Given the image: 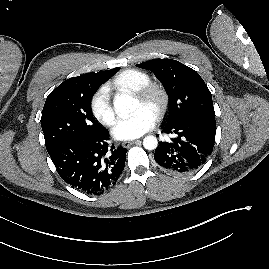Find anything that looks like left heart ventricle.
<instances>
[{"label":"left heart ventricle","mask_w":269,"mask_h":269,"mask_svg":"<svg viewBox=\"0 0 269 269\" xmlns=\"http://www.w3.org/2000/svg\"><path fill=\"white\" fill-rule=\"evenodd\" d=\"M141 108H147L148 110H150L151 112H153L155 114L156 101H152L150 103L144 104V103L140 102L139 100H136L134 112L136 113Z\"/></svg>","instance_id":"1"}]
</instances>
